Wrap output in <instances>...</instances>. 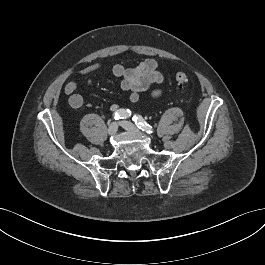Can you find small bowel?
Masks as SVG:
<instances>
[{"label":"small bowel","mask_w":265,"mask_h":265,"mask_svg":"<svg viewBox=\"0 0 265 265\" xmlns=\"http://www.w3.org/2000/svg\"><path fill=\"white\" fill-rule=\"evenodd\" d=\"M105 68L102 63H94L84 67L80 73L86 76V85L92 86L94 76ZM111 73L121 78V89L130 91L129 100L134 103L139 100L140 94L146 92L152 85L158 87L151 91V96L158 97L162 93L161 85L164 77L159 71L158 62L154 59H146L132 68H126L123 65L116 64L111 67ZM78 84L75 81H68L64 86V92L69 97V104L74 109H79L84 104L83 96L77 92ZM117 104H112L111 111L118 110Z\"/></svg>","instance_id":"c3829d8e"}]
</instances>
